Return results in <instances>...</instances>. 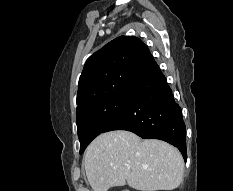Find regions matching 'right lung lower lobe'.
Masks as SVG:
<instances>
[{"instance_id":"obj_1","label":"right lung lower lobe","mask_w":233,"mask_h":191,"mask_svg":"<svg viewBox=\"0 0 233 191\" xmlns=\"http://www.w3.org/2000/svg\"><path fill=\"white\" fill-rule=\"evenodd\" d=\"M127 106L102 130H127L147 139L166 141L186 153V129L182 110L152 58L128 91Z\"/></svg>"}]
</instances>
